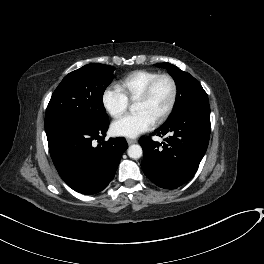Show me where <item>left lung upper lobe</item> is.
<instances>
[{"mask_svg":"<svg viewBox=\"0 0 264 264\" xmlns=\"http://www.w3.org/2000/svg\"><path fill=\"white\" fill-rule=\"evenodd\" d=\"M156 65L167 68L177 86V95L173 113L166 122L173 120L188 108L196 105L209 104L206 92L200 83L189 73L184 72L175 65L167 62Z\"/></svg>","mask_w":264,"mask_h":264,"instance_id":"1","label":"left lung upper lobe"}]
</instances>
